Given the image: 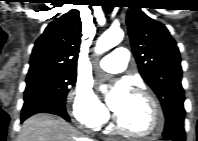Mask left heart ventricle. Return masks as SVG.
I'll use <instances>...</instances> for the list:
<instances>
[{"label":"left heart ventricle","mask_w":198,"mask_h":141,"mask_svg":"<svg viewBox=\"0 0 198 141\" xmlns=\"http://www.w3.org/2000/svg\"><path fill=\"white\" fill-rule=\"evenodd\" d=\"M117 115L121 123L132 131L146 133L153 127L150 103L146 98L133 93Z\"/></svg>","instance_id":"left-heart-ventricle-1"}]
</instances>
